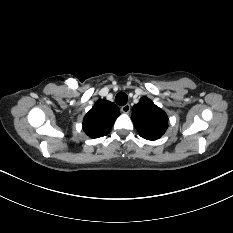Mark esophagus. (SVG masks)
<instances>
[{
    "mask_svg": "<svg viewBox=\"0 0 233 233\" xmlns=\"http://www.w3.org/2000/svg\"><path fill=\"white\" fill-rule=\"evenodd\" d=\"M130 109H131V107H130L129 104H125L124 106L121 107V111H122L123 113H129V112H130Z\"/></svg>",
    "mask_w": 233,
    "mask_h": 233,
    "instance_id": "esophagus-1",
    "label": "esophagus"
}]
</instances>
